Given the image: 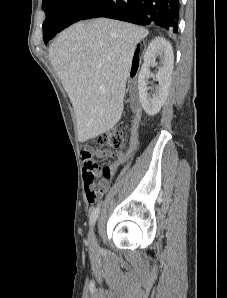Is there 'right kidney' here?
<instances>
[{"label":"right kidney","instance_id":"1","mask_svg":"<svg viewBox=\"0 0 227 298\" xmlns=\"http://www.w3.org/2000/svg\"><path fill=\"white\" fill-rule=\"evenodd\" d=\"M160 60L156 80L159 85L152 96L148 94V79L152 76L150 67L157 64L156 59ZM174 66V56L172 46L163 37H156L148 45L144 54V63L138 76L139 100L146 114L156 115L165 103L170 85L171 75Z\"/></svg>","mask_w":227,"mask_h":298}]
</instances>
